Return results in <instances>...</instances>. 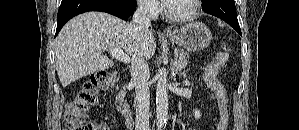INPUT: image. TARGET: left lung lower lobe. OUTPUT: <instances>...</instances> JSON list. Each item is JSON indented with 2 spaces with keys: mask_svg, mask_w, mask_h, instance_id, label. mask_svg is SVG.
Instances as JSON below:
<instances>
[{
  "mask_svg": "<svg viewBox=\"0 0 299 130\" xmlns=\"http://www.w3.org/2000/svg\"><path fill=\"white\" fill-rule=\"evenodd\" d=\"M202 9L205 13L221 18L242 35L234 0H204Z\"/></svg>",
  "mask_w": 299,
  "mask_h": 130,
  "instance_id": "0a47b994",
  "label": "left lung lower lobe"
}]
</instances>
